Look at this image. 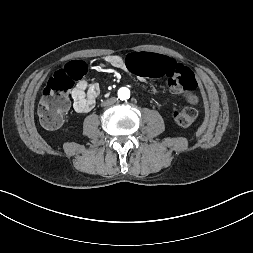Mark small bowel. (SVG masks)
<instances>
[{"label":"small bowel","mask_w":253,"mask_h":253,"mask_svg":"<svg viewBox=\"0 0 253 253\" xmlns=\"http://www.w3.org/2000/svg\"><path fill=\"white\" fill-rule=\"evenodd\" d=\"M128 56L123 58L119 55H107L104 57V63L115 69L129 70L132 72L127 66ZM140 78L145 79L147 77ZM99 94L100 88L97 84L89 85L85 80H80L71 92L75 111L78 113H87L91 111L96 104Z\"/></svg>","instance_id":"c3829d8e"}]
</instances>
